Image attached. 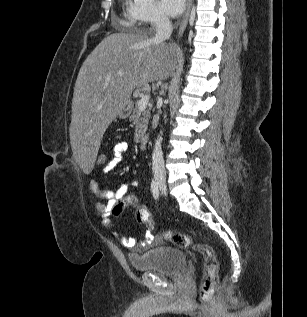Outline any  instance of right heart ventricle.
Returning a JSON list of instances; mask_svg holds the SVG:
<instances>
[{"label": "right heart ventricle", "instance_id": "right-heart-ventricle-1", "mask_svg": "<svg viewBox=\"0 0 307 317\" xmlns=\"http://www.w3.org/2000/svg\"><path fill=\"white\" fill-rule=\"evenodd\" d=\"M127 16H128V19H127V23L130 27H135V18L134 16L132 15V12H131V9L130 8H127Z\"/></svg>", "mask_w": 307, "mask_h": 317}]
</instances>
